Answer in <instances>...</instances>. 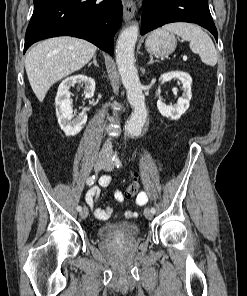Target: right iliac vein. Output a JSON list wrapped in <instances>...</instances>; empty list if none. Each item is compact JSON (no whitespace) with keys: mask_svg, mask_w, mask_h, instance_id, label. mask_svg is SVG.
Masks as SVG:
<instances>
[{"mask_svg":"<svg viewBox=\"0 0 247 296\" xmlns=\"http://www.w3.org/2000/svg\"><path fill=\"white\" fill-rule=\"evenodd\" d=\"M106 158L104 156H98L94 163V170L98 172L102 166L105 164ZM88 216V209L84 207L80 212V217L85 219Z\"/></svg>","mask_w":247,"mask_h":296,"instance_id":"1","label":"right iliac vein"}]
</instances>
